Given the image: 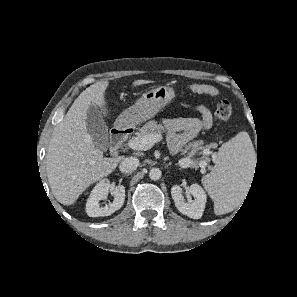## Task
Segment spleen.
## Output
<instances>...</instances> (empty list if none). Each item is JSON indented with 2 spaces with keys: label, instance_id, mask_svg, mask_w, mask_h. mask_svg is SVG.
Segmentation results:
<instances>
[{
  "label": "spleen",
  "instance_id": "obj_1",
  "mask_svg": "<svg viewBox=\"0 0 297 297\" xmlns=\"http://www.w3.org/2000/svg\"><path fill=\"white\" fill-rule=\"evenodd\" d=\"M255 159V150L246 132H240L220 147L213 170L203 178V185L214 201L216 215L231 211L244 196Z\"/></svg>",
  "mask_w": 297,
  "mask_h": 297
}]
</instances>
